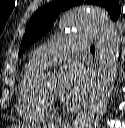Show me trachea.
Segmentation results:
<instances>
[{"mask_svg": "<svg viewBox=\"0 0 125 128\" xmlns=\"http://www.w3.org/2000/svg\"><path fill=\"white\" fill-rule=\"evenodd\" d=\"M91 51H95L94 45L90 47Z\"/></svg>", "mask_w": 125, "mask_h": 128, "instance_id": "trachea-1", "label": "trachea"}]
</instances>
